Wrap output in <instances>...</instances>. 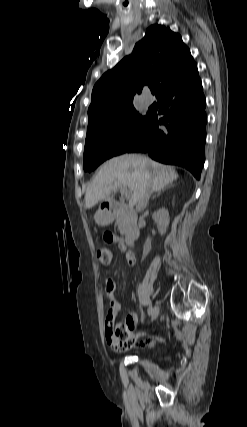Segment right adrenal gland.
<instances>
[{
	"mask_svg": "<svg viewBox=\"0 0 247 427\" xmlns=\"http://www.w3.org/2000/svg\"><path fill=\"white\" fill-rule=\"evenodd\" d=\"M160 193H161V191H159L158 192V194H157V196H159L160 195ZM156 197V195L155 196H153V199Z\"/></svg>",
	"mask_w": 247,
	"mask_h": 427,
	"instance_id": "right-adrenal-gland-1",
	"label": "right adrenal gland"
}]
</instances>
